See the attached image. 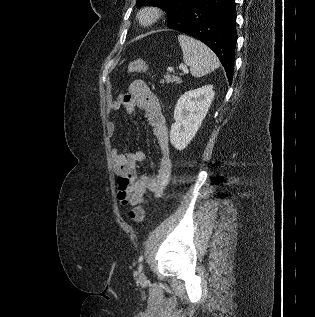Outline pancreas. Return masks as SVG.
I'll return each instance as SVG.
<instances>
[{"label": "pancreas", "instance_id": "obj_1", "mask_svg": "<svg viewBox=\"0 0 315 317\" xmlns=\"http://www.w3.org/2000/svg\"><path fill=\"white\" fill-rule=\"evenodd\" d=\"M165 80L167 83H170V82H177L179 83L180 82V79L178 77H175V76H171L169 73H167L165 76H164ZM164 82V81H162Z\"/></svg>", "mask_w": 315, "mask_h": 317}]
</instances>
